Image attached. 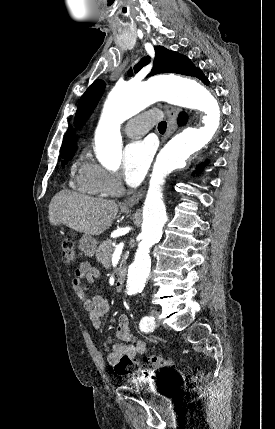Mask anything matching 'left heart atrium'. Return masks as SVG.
<instances>
[{
    "label": "left heart atrium",
    "mask_w": 275,
    "mask_h": 429,
    "mask_svg": "<svg viewBox=\"0 0 275 429\" xmlns=\"http://www.w3.org/2000/svg\"><path fill=\"white\" fill-rule=\"evenodd\" d=\"M155 152V145L149 140L129 144L123 157V174L130 186H137L143 180Z\"/></svg>",
    "instance_id": "39dd6f15"
}]
</instances>
